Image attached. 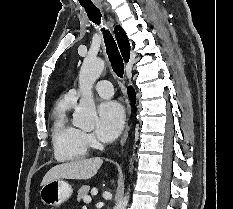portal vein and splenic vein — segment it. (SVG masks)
<instances>
[{
  "mask_svg": "<svg viewBox=\"0 0 233 209\" xmlns=\"http://www.w3.org/2000/svg\"><path fill=\"white\" fill-rule=\"evenodd\" d=\"M91 197L90 196H86V197H84V199H83V201H84V203H86V204H89L90 202H91Z\"/></svg>",
  "mask_w": 233,
  "mask_h": 209,
  "instance_id": "obj_1",
  "label": "portal vein and splenic vein"
}]
</instances>
